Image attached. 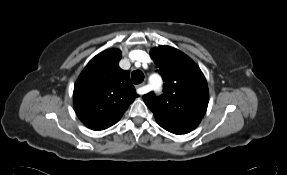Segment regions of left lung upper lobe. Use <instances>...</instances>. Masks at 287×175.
Returning a JSON list of instances; mask_svg holds the SVG:
<instances>
[{
	"mask_svg": "<svg viewBox=\"0 0 287 175\" xmlns=\"http://www.w3.org/2000/svg\"><path fill=\"white\" fill-rule=\"evenodd\" d=\"M164 83V93L143 96L156 122L165 130L181 135L195 129L206 113L209 91L206 79L183 52L170 46H159L150 51Z\"/></svg>",
	"mask_w": 287,
	"mask_h": 175,
	"instance_id": "5c2ea615",
	"label": "left lung upper lobe"
}]
</instances>
